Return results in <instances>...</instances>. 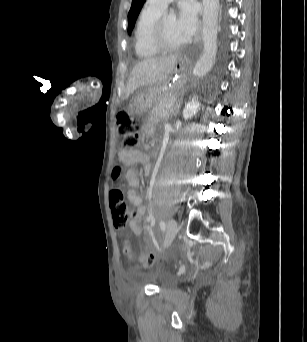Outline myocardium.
<instances>
[{"instance_id":"f54148a6","label":"myocardium","mask_w":307,"mask_h":342,"mask_svg":"<svg viewBox=\"0 0 307 342\" xmlns=\"http://www.w3.org/2000/svg\"><path fill=\"white\" fill-rule=\"evenodd\" d=\"M165 22L164 17H159L155 20L152 25L150 32V44L151 46L162 55L175 56L181 53L182 49L179 50H171L165 47L162 42V29Z\"/></svg>"}]
</instances>
